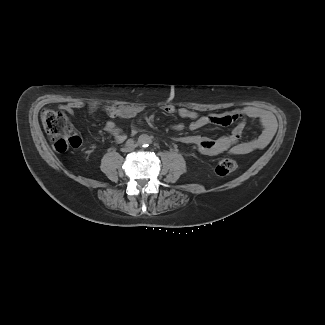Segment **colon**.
Masks as SVG:
<instances>
[{
	"instance_id": "5ec220e1",
	"label": "colon",
	"mask_w": 325,
	"mask_h": 325,
	"mask_svg": "<svg viewBox=\"0 0 325 325\" xmlns=\"http://www.w3.org/2000/svg\"><path fill=\"white\" fill-rule=\"evenodd\" d=\"M41 121L56 151L64 152L71 146L79 145L80 139L71 134L70 124L63 112L45 109L41 114ZM237 167L234 159L223 158L217 163L216 173L225 176L234 172Z\"/></svg>"
}]
</instances>
